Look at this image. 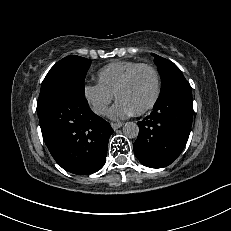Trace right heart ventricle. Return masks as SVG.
I'll use <instances>...</instances> for the list:
<instances>
[{
	"label": "right heart ventricle",
	"instance_id": "right-heart-ventricle-1",
	"mask_svg": "<svg viewBox=\"0 0 231 231\" xmlns=\"http://www.w3.org/2000/svg\"><path fill=\"white\" fill-rule=\"evenodd\" d=\"M140 64L136 61H115L107 64L97 74L98 83L115 94L116 89L127 74Z\"/></svg>",
	"mask_w": 231,
	"mask_h": 231
}]
</instances>
